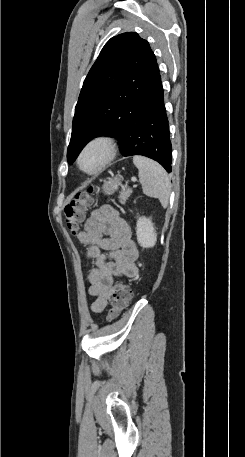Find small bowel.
<instances>
[{"label": "small bowel", "instance_id": "small-bowel-1", "mask_svg": "<svg viewBox=\"0 0 245 457\" xmlns=\"http://www.w3.org/2000/svg\"><path fill=\"white\" fill-rule=\"evenodd\" d=\"M77 240L88 249L95 268L87 273L88 294L93 298L91 310L99 313L107 306L115 289V277L134 278L139 269L135 262L138 249L132 240L127 221L115 208L103 205L85 222Z\"/></svg>", "mask_w": 245, "mask_h": 457}]
</instances>
